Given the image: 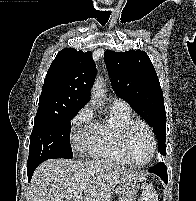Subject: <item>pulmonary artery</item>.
Wrapping results in <instances>:
<instances>
[{
	"instance_id": "e3ab8cb5",
	"label": "pulmonary artery",
	"mask_w": 196,
	"mask_h": 201,
	"mask_svg": "<svg viewBox=\"0 0 196 201\" xmlns=\"http://www.w3.org/2000/svg\"><path fill=\"white\" fill-rule=\"evenodd\" d=\"M113 105L119 106V107H128V105L120 99H115Z\"/></svg>"
}]
</instances>
